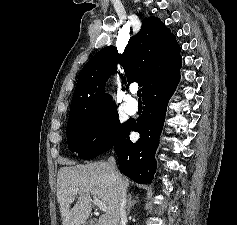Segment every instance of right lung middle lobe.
Returning <instances> with one entry per match:
<instances>
[{"instance_id":"right-lung-middle-lobe-1","label":"right lung middle lobe","mask_w":237,"mask_h":225,"mask_svg":"<svg viewBox=\"0 0 237 225\" xmlns=\"http://www.w3.org/2000/svg\"><path fill=\"white\" fill-rule=\"evenodd\" d=\"M115 110L110 109L94 116L70 112L66 128L70 151L88 160L110 150L128 124H119Z\"/></svg>"}]
</instances>
